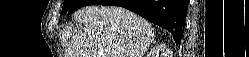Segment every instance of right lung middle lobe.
Here are the masks:
<instances>
[{"label": "right lung middle lobe", "instance_id": "obj_1", "mask_svg": "<svg viewBox=\"0 0 249 57\" xmlns=\"http://www.w3.org/2000/svg\"><path fill=\"white\" fill-rule=\"evenodd\" d=\"M95 3L96 0H64L62 12L60 13V15L64 13L71 14L81 7L95 5Z\"/></svg>", "mask_w": 249, "mask_h": 57}]
</instances>
